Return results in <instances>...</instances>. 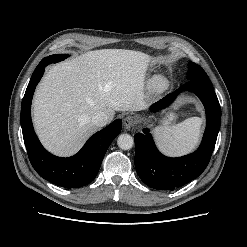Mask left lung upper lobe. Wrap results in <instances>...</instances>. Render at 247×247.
Instances as JSON below:
<instances>
[{"instance_id":"left-lung-upper-lobe-1","label":"left lung upper lobe","mask_w":247,"mask_h":247,"mask_svg":"<svg viewBox=\"0 0 247 247\" xmlns=\"http://www.w3.org/2000/svg\"><path fill=\"white\" fill-rule=\"evenodd\" d=\"M187 79L189 81L197 80V81H202L205 83H211L209 77L207 76L205 71L202 69V67L195 64L194 62H190L188 64Z\"/></svg>"}]
</instances>
